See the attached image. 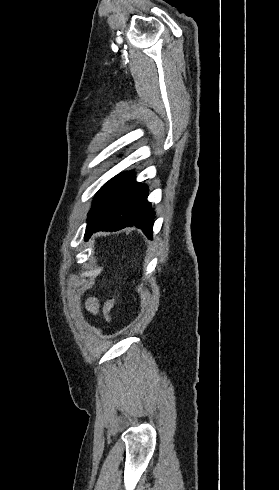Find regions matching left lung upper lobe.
I'll return each instance as SVG.
<instances>
[{"label":"left lung upper lobe","mask_w":279,"mask_h":490,"mask_svg":"<svg viewBox=\"0 0 279 490\" xmlns=\"http://www.w3.org/2000/svg\"><path fill=\"white\" fill-rule=\"evenodd\" d=\"M133 172H123L116 175L97 192L92 209L88 214L86 231L114 209L117 195Z\"/></svg>","instance_id":"5c2ea615"}]
</instances>
